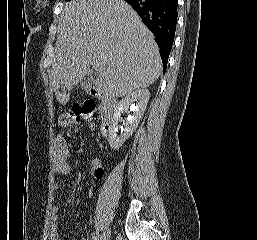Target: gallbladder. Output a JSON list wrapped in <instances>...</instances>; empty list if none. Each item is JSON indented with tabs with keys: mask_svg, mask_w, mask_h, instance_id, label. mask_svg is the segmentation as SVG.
<instances>
[{
	"mask_svg": "<svg viewBox=\"0 0 257 240\" xmlns=\"http://www.w3.org/2000/svg\"><path fill=\"white\" fill-rule=\"evenodd\" d=\"M88 83H90L89 80H84V81H82L81 87H82V88H85L86 84H88Z\"/></svg>",
	"mask_w": 257,
	"mask_h": 240,
	"instance_id": "bac80fb5",
	"label": "gallbladder"
}]
</instances>
